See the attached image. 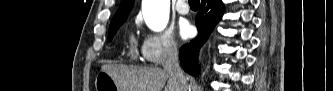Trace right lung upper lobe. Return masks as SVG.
Wrapping results in <instances>:
<instances>
[{"instance_id":"obj_1","label":"right lung upper lobe","mask_w":333,"mask_h":91,"mask_svg":"<svg viewBox=\"0 0 333 91\" xmlns=\"http://www.w3.org/2000/svg\"><path fill=\"white\" fill-rule=\"evenodd\" d=\"M134 0H121V4L119 9L117 10L115 16L113 17V20L121 19V18H127L129 12L131 11L133 7Z\"/></svg>"}]
</instances>
